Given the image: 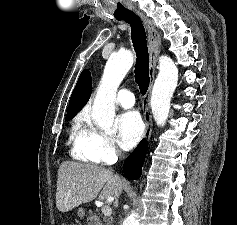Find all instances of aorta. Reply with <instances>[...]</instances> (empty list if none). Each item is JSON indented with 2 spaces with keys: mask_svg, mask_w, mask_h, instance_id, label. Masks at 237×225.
I'll return each instance as SVG.
<instances>
[{
  "mask_svg": "<svg viewBox=\"0 0 237 225\" xmlns=\"http://www.w3.org/2000/svg\"><path fill=\"white\" fill-rule=\"evenodd\" d=\"M133 54L122 50L112 54L104 68L100 86L92 108V119L106 134L114 133L115 99L119 84L133 64ZM178 82V69L167 56L159 58V74L151 94V110L158 126H164L170 111V102ZM139 214L132 211L122 225H138Z\"/></svg>",
  "mask_w": 237,
  "mask_h": 225,
  "instance_id": "aorta-1",
  "label": "aorta"
}]
</instances>
